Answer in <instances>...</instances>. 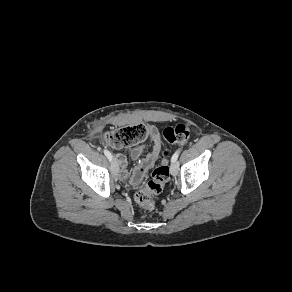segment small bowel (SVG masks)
Returning <instances> with one entry per match:
<instances>
[{"instance_id":"c3829d8e","label":"small bowel","mask_w":292,"mask_h":292,"mask_svg":"<svg viewBox=\"0 0 292 292\" xmlns=\"http://www.w3.org/2000/svg\"><path fill=\"white\" fill-rule=\"evenodd\" d=\"M148 143L151 144V150L145 156H143V154L147 148V143L137 145L131 149V158L138 161L132 174L128 171V161L125 155L117 154L115 156L120 167V178L123 181L138 184L143 180L146 173L155 165L159 157L162 144L157 130L153 127L150 128Z\"/></svg>"}]
</instances>
